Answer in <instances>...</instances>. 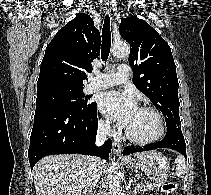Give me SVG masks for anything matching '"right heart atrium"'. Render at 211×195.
Instances as JSON below:
<instances>
[{
    "label": "right heart atrium",
    "instance_id": "1",
    "mask_svg": "<svg viewBox=\"0 0 211 195\" xmlns=\"http://www.w3.org/2000/svg\"><path fill=\"white\" fill-rule=\"evenodd\" d=\"M100 128L105 133L111 132V123L108 119H101L99 122Z\"/></svg>",
    "mask_w": 211,
    "mask_h": 195
}]
</instances>
